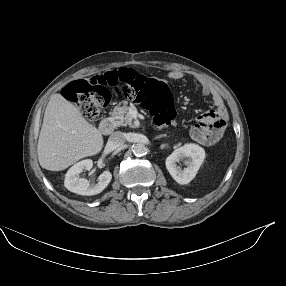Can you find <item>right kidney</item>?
<instances>
[{
  "label": "right kidney",
  "mask_w": 286,
  "mask_h": 286,
  "mask_svg": "<svg viewBox=\"0 0 286 286\" xmlns=\"http://www.w3.org/2000/svg\"><path fill=\"white\" fill-rule=\"evenodd\" d=\"M93 161L90 159L82 160L74 164L66 173L64 186L71 192L91 196L102 192L110 183L112 174L104 171L98 178L97 183H90L85 178H80V173L86 169L91 170Z\"/></svg>",
  "instance_id": "obj_1"
}]
</instances>
